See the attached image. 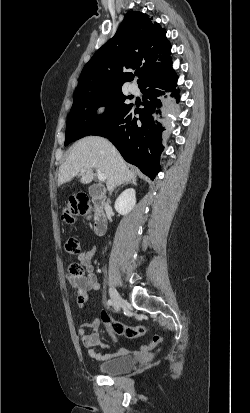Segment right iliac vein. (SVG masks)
I'll list each match as a JSON object with an SVG mask.
<instances>
[{
  "label": "right iliac vein",
  "mask_w": 250,
  "mask_h": 413,
  "mask_svg": "<svg viewBox=\"0 0 250 413\" xmlns=\"http://www.w3.org/2000/svg\"><path fill=\"white\" fill-rule=\"evenodd\" d=\"M109 293H110V297L113 302L114 308L117 311H119L124 305V300L121 298L117 290L112 285H110Z\"/></svg>",
  "instance_id": "right-iliac-vein-1"
}]
</instances>
